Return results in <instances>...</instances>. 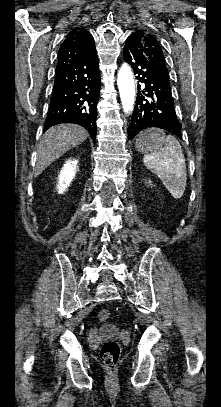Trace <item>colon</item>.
<instances>
[{"label": "colon", "mask_w": 221, "mask_h": 407, "mask_svg": "<svg viewBox=\"0 0 221 407\" xmlns=\"http://www.w3.org/2000/svg\"><path fill=\"white\" fill-rule=\"evenodd\" d=\"M111 315L107 309H102L98 312L97 318L100 322H106L110 319ZM120 346L115 340L106 341L100 350V359L103 366L109 373H113L119 363Z\"/></svg>", "instance_id": "obj_1"}]
</instances>
